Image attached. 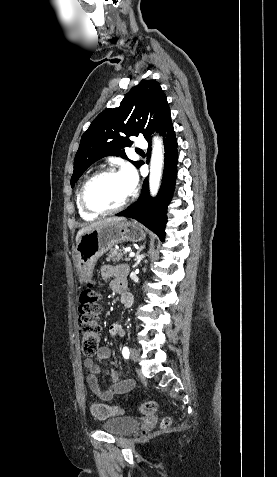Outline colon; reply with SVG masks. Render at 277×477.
I'll use <instances>...</instances> for the list:
<instances>
[{
  "instance_id": "colon-1",
  "label": "colon",
  "mask_w": 277,
  "mask_h": 477,
  "mask_svg": "<svg viewBox=\"0 0 277 477\" xmlns=\"http://www.w3.org/2000/svg\"><path fill=\"white\" fill-rule=\"evenodd\" d=\"M79 332L82 340V350L86 356L96 353L101 340V327L99 324V295L92 289V285L83 290L79 297ZM91 414L97 419H106L112 416L125 414V410L120 407L109 406L101 403H94L90 407ZM157 410L155 401H145L140 406V412L144 415H151ZM171 424L169 418L162 421V427L166 428Z\"/></svg>"
}]
</instances>
